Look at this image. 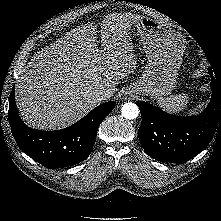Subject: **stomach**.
Masks as SVG:
<instances>
[{
	"mask_svg": "<svg viewBox=\"0 0 221 221\" xmlns=\"http://www.w3.org/2000/svg\"><path fill=\"white\" fill-rule=\"evenodd\" d=\"M125 23L128 30L136 27L147 56L142 76L127 88L125 94H146L159 100L166 98L175 88L185 53L183 37L169 25L148 17L129 14Z\"/></svg>",
	"mask_w": 221,
	"mask_h": 221,
	"instance_id": "0dacf381",
	"label": "stomach"
}]
</instances>
